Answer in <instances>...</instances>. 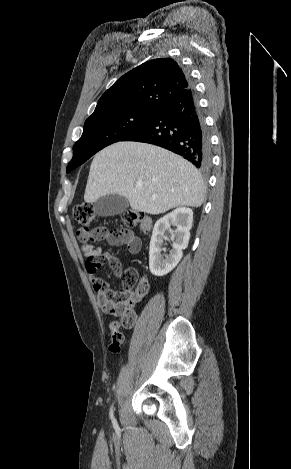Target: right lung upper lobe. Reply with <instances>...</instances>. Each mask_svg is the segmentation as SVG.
<instances>
[{
    "label": "right lung upper lobe",
    "instance_id": "right-lung-upper-lobe-1",
    "mask_svg": "<svg viewBox=\"0 0 291 469\" xmlns=\"http://www.w3.org/2000/svg\"><path fill=\"white\" fill-rule=\"evenodd\" d=\"M189 86L188 76L176 61L171 58L150 60L117 80L99 99L88 119L131 109L154 110L161 102Z\"/></svg>",
    "mask_w": 291,
    "mask_h": 469
}]
</instances>
